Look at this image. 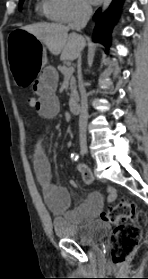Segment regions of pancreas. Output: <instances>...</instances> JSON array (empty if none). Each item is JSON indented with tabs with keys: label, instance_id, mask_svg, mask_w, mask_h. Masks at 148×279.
I'll return each mask as SVG.
<instances>
[{
	"label": "pancreas",
	"instance_id": "pancreas-1",
	"mask_svg": "<svg viewBox=\"0 0 148 279\" xmlns=\"http://www.w3.org/2000/svg\"><path fill=\"white\" fill-rule=\"evenodd\" d=\"M58 70L65 76V74L69 70V68H67L65 66H58ZM72 74L73 73H71L68 77L70 79L71 99L77 100L78 95H77L76 80Z\"/></svg>",
	"mask_w": 148,
	"mask_h": 279
}]
</instances>
